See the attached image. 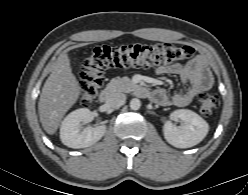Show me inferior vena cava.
<instances>
[{"instance_id":"inferior-vena-cava-1","label":"inferior vena cava","mask_w":248,"mask_h":195,"mask_svg":"<svg viewBox=\"0 0 248 195\" xmlns=\"http://www.w3.org/2000/svg\"><path fill=\"white\" fill-rule=\"evenodd\" d=\"M125 100H126L125 94L116 92L111 94L106 102L110 107H117L123 104Z\"/></svg>"}]
</instances>
